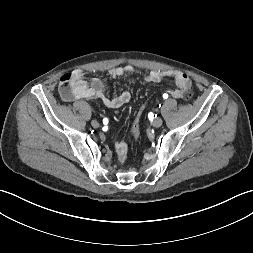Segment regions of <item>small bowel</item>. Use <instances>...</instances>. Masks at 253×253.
I'll use <instances>...</instances> for the list:
<instances>
[{
    "label": "small bowel",
    "instance_id": "small-bowel-1",
    "mask_svg": "<svg viewBox=\"0 0 253 253\" xmlns=\"http://www.w3.org/2000/svg\"><path fill=\"white\" fill-rule=\"evenodd\" d=\"M134 72L131 66H118L109 70L112 78L126 77ZM173 78L177 86L176 89L169 91V95L180 99L186 96L191 88L190 78L179 70H152L145 75L146 83H158L164 78ZM60 94L64 101L73 102L80 99H98L107 108H120L131 101L129 91H123L120 94L110 97L105 93L104 83L99 78H92L89 82L85 80L83 70L76 69L64 75L60 82ZM167 94V95H168ZM115 149L118 154V160L123 163L127 156V145L124 142H116Z\"/></svg>",
    "mask_w": 253,
    "mask_h": 253
}]
</instances>
